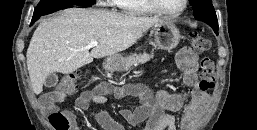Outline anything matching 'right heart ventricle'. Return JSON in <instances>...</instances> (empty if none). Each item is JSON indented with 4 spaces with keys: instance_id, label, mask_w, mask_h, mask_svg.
Masks as SVG:
<instances>
[{
    "instance_id": "1",
    "label": "right heart ventricle",
    "mask_w": 257,
    "mask_h": 130,
    "mask_svg": "<svg viewBox=\"0 0 257 130\" xmlns=\"http://www.w3.org/2000/svg\"><path fill=\"white\" fill-rule=\"evenodd\" d=\"M113 4L123 13L132 16H146L155 13L146 0H113Z\"/></svg>"
}]
</instances>
